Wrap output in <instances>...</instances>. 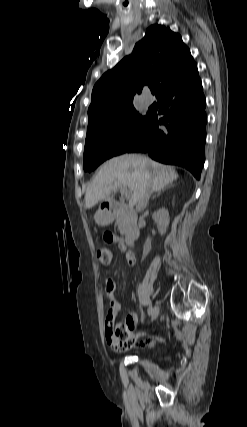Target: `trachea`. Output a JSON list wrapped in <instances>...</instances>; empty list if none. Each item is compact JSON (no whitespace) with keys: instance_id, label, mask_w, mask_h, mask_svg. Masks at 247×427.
<instances>
[{"instance_id":"1","label":"trachea","mask_w":247,"mask_h":427,"mask_svg":"<svg viewBox=\"0 0 247 427\" xmlns=\"http://www.w3.org/2000/svg\"><path fill=\"white\" fill-rule=\"evenodd\" d=\"M151 92H152V94H155V89H154V88H152V89H151Z\"/></svg>"}]
</instances>
